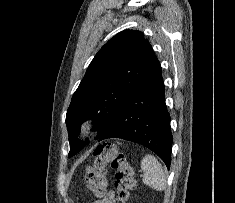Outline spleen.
I'll return each mask as SVG.
<instances>
[{
	"label": "spleen",
	"mask_w": 235,
	"mask_h": 203,
	"mask_svg": "<svg viewBox=\"0 0 235 203\" xmlns=\"http://www.w3.org/2000/svg\"><path fill=\"white\" fill-rule=\"evenodd\" d=\"M141 169L144 173L142 179L144 184L159 191L166 188L167 180L164 170L154 156L147 154L141 161Z\"/></svg>",
	"instance_id": "1"
}]
</instances>
